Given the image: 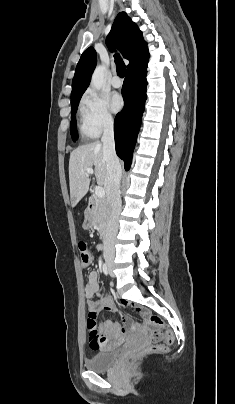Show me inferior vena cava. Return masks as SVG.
<instances>
[{"label":"inferior vena cava","instance_id":"602c4592","mask_svg":"<svg viewBox=\"0 0 235 404\" xmlns=\"http://www.w3.org/2000/svg\"><path fill=\"white\" fill-rule=\"evenodd\" d=\"M103 143V155L106 162V195L107 201L110 206L111 212L109 223L107 226L106 234L104 237V253L114 255L115 253V239L118 231V220L121 211V198H120V180L122 169L119 158L115 152L114 143V129L113 119L108 118L103 127V135L101 138Z\"/></svg>","mask_w":235,"mask_h":404}]
</instances>
